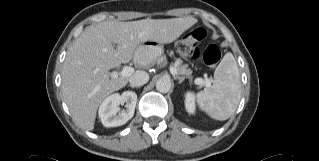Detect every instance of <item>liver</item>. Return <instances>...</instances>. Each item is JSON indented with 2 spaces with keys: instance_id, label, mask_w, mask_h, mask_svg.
I'll list each match as a JSON object with an SVG mask.
<instances>
[{
  "instance_id": "6515ba94",
  "label": "liver",
  "mask_w": 319,
  "mask_h": 161,
  "mask_svg": "<svg viewBox=\"0 0 319 161\" xmlns=\"http://www.w3.org/2000/svg\"><path fill=\"white\" fill-rule=\"evenodd\" d=\"M195 23L197 19L186 17L104 21L87 27L68 49L62 69L63 98L74 121L92 131L100 103L128 82L127 77H113L109 70L131 61L141 43H171Z\"/></svg>"
}]
</instances>
